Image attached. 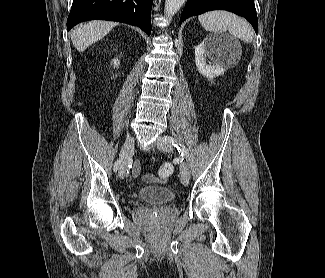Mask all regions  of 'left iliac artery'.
<instances>
[{
	"label": "left iliac artery",
	"mask_w": 325,
	"mask_h": 278,
	"mask_svg": "<svg viewBox=\"0 0 325 278\" xmlns=\"http://www.w3.org/2000/svg\"><path fill=\"white\" fill-rule=\"evenodd\" d=\"M164 141L165 142H168V143H172V145H174V147L177 148L178 152L184 156V157H188L189 155V152L187 150V148L181 144L180 142H178L177 140H175L174 138L170 137V136H165L163 137Z\"/></svg>",
	"instance_id": "1"
}]
</instances>
